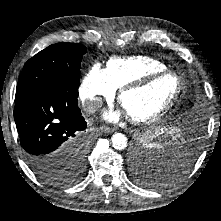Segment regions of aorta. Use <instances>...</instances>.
Masks as SVG:
<instances>
[{"label": "aorta", "instance_id": "1", "mask_svg": "<svg viewBox=\"0 0 221 221\" xmlns=\"http://www.w3.org/2000/svg\"><path fill=\"white\" fill-rule=\"evenodd\" d=\"M112 146L117 150H123L127 147V137L122 133H114L111 138ZM144 152H148L147 147L143 148Z\"/></svg>", "mask_w": 221, "mask_h": 221}]
</instances>
